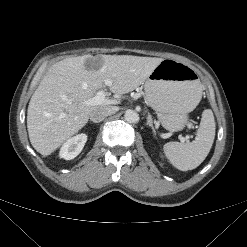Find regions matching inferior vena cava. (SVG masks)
Instances as JSON below:
<instances>
[{
    "instance_id": "602c4592",
    "label": "inferior vena cava",
    "mask_w": 247,
    "mask_h": 247,
    "mask_svg": "<svg viewBox=\"0 0 247 247\" xmlns=\"http://www.w3.org/2000/svg\"><path fill=\"white\" fill-rule=\"evenodd\" d=\"M117 110L118 108L115 106L106 109L95 110L90 114V120L94 123L101 122L107 116L114 114Z\"/></svg>"
}]
</instances>
